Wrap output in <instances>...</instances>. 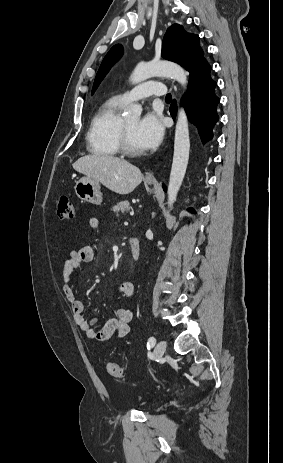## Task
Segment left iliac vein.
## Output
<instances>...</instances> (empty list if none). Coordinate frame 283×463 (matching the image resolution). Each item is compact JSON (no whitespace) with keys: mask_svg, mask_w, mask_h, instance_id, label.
Returning <instances> with one entry per match:
<instances>
[{"mask_svg":"<svg viewBox=\"0 0 283 463\" xmlns=\"http://www.w3.org/2000/svg\"><path fill=\"white\" fill-rule=\"evenodd\" d=\"M165 350H166V342L163 340H160L154 348V356L156 358H161L164 355Z\"/></svg>","mask_w":283,"mask_h":463,"instance_id":"obj_1","label":"left iliac vein"}]
</instances>
